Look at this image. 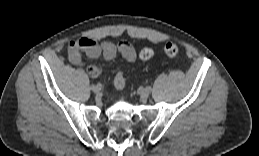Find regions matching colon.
<instances>
[{
	"mask_svg": "<svg viewBox=\"0 0 259 156\" xmlns=\"http://www.w3.org/2000/svg\"><path fill=\"white\" fill-rule=\"evenodd\" d=\"M179 47L174 43H167L164 46V53L168 57H175L179 54ZM154 56V50L151 47H144L139 53V57L142 60H149ZM125 75L122 71H119L114 78V86L118 91H122L125 88Z\"/></svg>",
	"mask_w": 259,
	"mask_h": 156,
	"instance_id": "1",
	"label": "colon"
}]
</instances>
